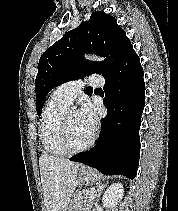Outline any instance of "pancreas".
I'll return each mask as SVG.
<instances>
[{"label":"pancreas","instance_id":"pancreas-1","mask_svg":"<svg viewBox=\"0 0 178 211\" xmlns=\"http://www.w3.org/2000/svg\"><path fill=\"white\" fill-rule=\"evenodd\" d=\"M94 194L93 191H83L75 194L70 204L69 211H86L93 205L91 196Z\"/></svg>","mask_w":178,"mask_h":211}]
</instances>
